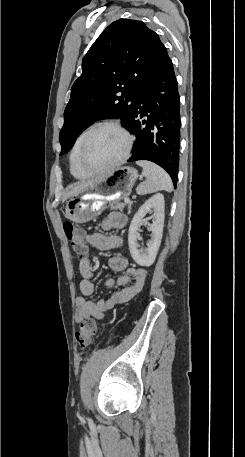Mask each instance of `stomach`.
<instances>
[{
    "label": "stomach",
    "instance_id": "obj_1",
    "mask_svg": "<svg viewBox=\"0 0 245 457\" xmlns=\"http://www.w3.org/2000/svg\"><path fill=\"white\" fill-rule=\"evenodd\" d=\"M138 172L133 166H119L102 178L71 196L66 202L65 216L73 222H88L101 214L109 202L129 196Z\"/></svg>",
    "mask_w": 245,
    "mask_h": 457
}]
</instances>
